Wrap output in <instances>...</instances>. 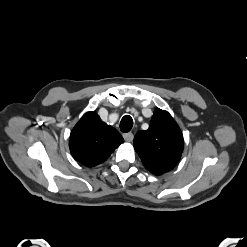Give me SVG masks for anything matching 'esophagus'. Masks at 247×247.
<instances>
[{"label":"esophagus","mask_w":247,"mask_h":247,"mask_svg":"<svg viewBox=\"0 0 247 247\" xmlns=\"http://www.w3.org/2000/svg\"><path fill=\"white\" fill-rule=\"evenodd\" d=\"M123 138L127 142H132L134 139V135L132 133H125L123 134Z\"/></svg>","instance_id":"obj_1"}]
</instances>
